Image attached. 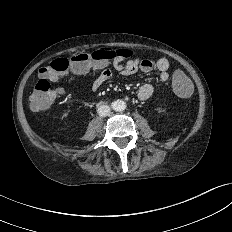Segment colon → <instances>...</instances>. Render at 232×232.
<instances>
[{
  "label": "colon",
  "mask_w": 232,
  "mask_h": 232,
  "mask_svg": "<svg viewBox=\"0 0 232 232\" xmlns=\"http://www.w3.org/2000/svg\"><path fill=\"white\" fill-rule=\"evenodd\" d=\"M134 55L129 49L99 48L92 52H80L70 58H57L47 67L40 70L39 81L30 97V105L34 111H43L55 101L60 90L51 87V82L62 78L68 71L82 73L91 65L102 64L116 56L125 59ZM172 85L175 93L180 97H188L192 92V85L188 77L181 70L173 74Z\"/></svg>",
  "instance_id": "1"
}]
</instances>
